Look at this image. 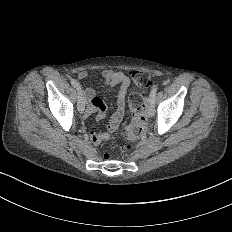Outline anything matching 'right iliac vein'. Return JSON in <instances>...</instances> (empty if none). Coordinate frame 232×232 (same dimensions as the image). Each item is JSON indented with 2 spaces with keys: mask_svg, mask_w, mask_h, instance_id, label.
<instances>
[{
  "mask_svg": "<svg viewBox=\"0 0 232 232\" xmlns=\"http://www.w3.org/2000/svg\"><path fill=\"white\" fill-rule=\"evenodd\" d=\"M77 97V108L81 113L84 110V95L82 93H78Z\"/></svg>",
  "mask_w": 232,
  "mask_h": 232,
  "instance_id": "1",
  "label": "right iliac vein"
}]
</instances>
